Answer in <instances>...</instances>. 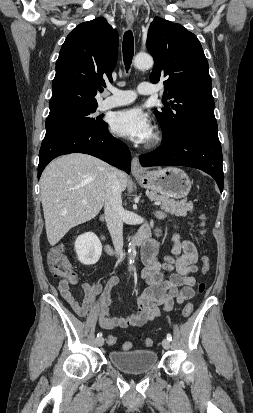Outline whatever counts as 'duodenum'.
Returning a JSON list of instances; mask_svg holds the SVG:
<instances>
[{
  "instance_id": "410a0bca",
  "label": "duodenum",
  "mask_w": 253,
  "mask_h": 413,
  "mask_svg": "<svg viewBox=\"0 0 253 413\" xmlns=\"http://www.w3.org/2000/svg\"><path fill=\"white\" fill-rule=\"evenodd\" d=\"M150 237V228L148 227V225H143L134 237V247L145 245L148 241H150ZM106 251L109 254H114V250L110 245L106 246Z\"/></svg>"
}]
</instances>
